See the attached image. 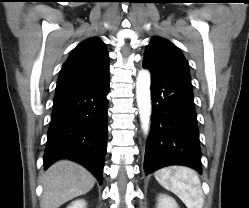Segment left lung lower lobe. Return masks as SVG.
<instances>
[{"label": "left lung lower lobe", "mask_w": 249, "mask_h": 208, "mask_svg": "<svg viewBox=\"0 0 249 208\" xmlns=\"http://www.w3.org/2000/svg\"><path fill=\"white\" fill-rule=\"evenodd\" d=\"M151 73L152 115L144 170L148 175L169 165L202 173L197 116L191 81L145 60Z\"/></svg>", "instance_id": "0a47b994"}]
</instances>
